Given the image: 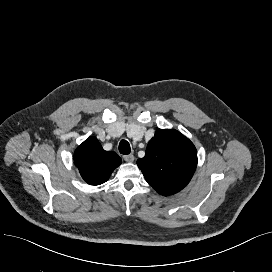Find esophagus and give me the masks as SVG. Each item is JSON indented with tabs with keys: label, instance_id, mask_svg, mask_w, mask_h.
<instances>
[{
	"label": "esophagus",
	"instance_id": "1",
	"mask_svg": "<svg viewBox=\"0 0 272 272\" xmlns=\"http://www.w3.org/2000/svg\"><path fill=\"white\" fill-rule=\"evenodd\" d=\"M134 155H132V154H130V155H125L124 156V160L126 161V162H133L134 161Z\"/></svg>",
	"mask_w": 272,
	"mask_h": 272
}]
</instances>
